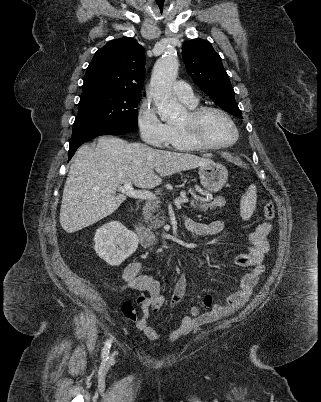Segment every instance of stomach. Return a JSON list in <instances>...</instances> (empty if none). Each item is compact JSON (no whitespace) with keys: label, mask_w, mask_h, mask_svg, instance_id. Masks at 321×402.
I'll return each instance as SVG.
<instances>
[{"label":"stomach","mask_w":321,"mask_h":402,"mask_svg":"<svg viewBox=\"0 0 321 402\" xmlns=\"http://www.w3.org/2000/svg\"><path fill=\"white\" fill-rule=\"evenodd\" d=\"M200 182L208 192H217L223 188L228 180V171L219 163L203 165L198 171Z\"/></svg>","instance_id":"0dacf381"}]
</instances>
